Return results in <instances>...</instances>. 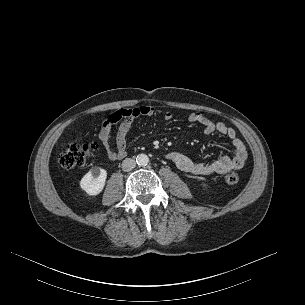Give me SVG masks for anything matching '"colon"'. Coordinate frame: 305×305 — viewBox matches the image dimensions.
Segmentation results:
<instances>
[{
	"mask_svg": "<svg viewBox=\"0 0 305 305\" xmlns=\"http://www.w3.org/2000/svg\"><path fill=\"white\" fill-rule=\"evenodd\" d=\"M98 150V145L93 141L87 143H70L59 155V162L64 168H72L84 165ZM223 180L226 184L235 185L239 182L236 173H227Z\"/></svg>",
	"mask_w": 305,
	"mask_h": 305,
	"instance_id": "1",
	"label": "colon"
}]
</instances>
